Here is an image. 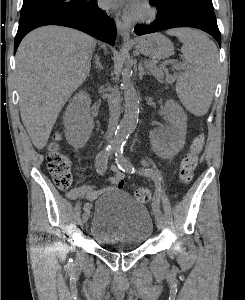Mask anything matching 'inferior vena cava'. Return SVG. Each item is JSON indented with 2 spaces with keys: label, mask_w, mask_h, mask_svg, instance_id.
<instances>
[{
  "label": "inferior vena cava",
  "mask_w": 245,
  "mask_h": 300,
  "mask_svg": "<svg viewBox=\"0 0 245 300\" xmlns=\"http://www.w3.org/2000/svg\"><path fill=\"white\" fill-rule=\"evenodd\" d=\"M121 97L118 89H112L108 95V106H109V125L107 131V142H112L116 126L120 116V105Z\"/></svg>",
  "instance_id": "obj_1"
}]
</instances>
